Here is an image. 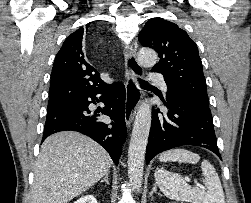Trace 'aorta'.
I'll use <instances>...</instances> for the list:
<instances>
[{
    "mask_svg": "<svg viewBox=\"0 0 251 203\" xmlns=\"http://www.w3.org/2000/svg\"><path fill=\"white\" fill-rule=\"evenodd\" d=\"M138 60L143 66L152 67L157 62V54L149 48H142L138 53ZM151 108L148 103H142L134 121L128 150V176L134 188L139 190L143 180V168L146 146L151 126Z\"/></svg>",
    "mask_w": 251,
    "mask_h": 203,
    "instance_id": "obj_1",
    "label": "aorta"
}]
</instances>
